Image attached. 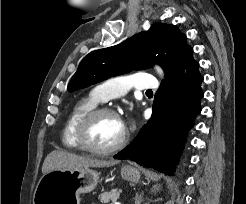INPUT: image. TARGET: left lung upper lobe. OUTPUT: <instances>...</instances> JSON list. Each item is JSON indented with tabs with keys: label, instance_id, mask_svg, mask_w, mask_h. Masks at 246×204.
I'll return each mask as SVG.
<instances>
[{
	"label": "left lung upper lobe",
	"instance_id": "left-lung-upper-lobe-1",
	"mask_svg": "<svg viewBox=\"0 0 246 204\" xmlns=\"http://www.w3.org/2000/svg\"><path fill=\"white\" fill-rule=\"evenodd\" d=\"M190 47L175 25L153 24L148 31L126 41L89 53L81 61L67 90L85 88L131 70H142L158 63L167 75Z\"/></svg>",
	"mask_w": 246,
	"mask_h": 204
}]
</instances>
